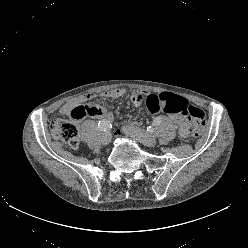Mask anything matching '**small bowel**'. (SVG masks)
<instances>
[{"label": "small bowel", "mask_w": 248, "mask_h": 248, "mask_svg": "<svg viewBox=\"0 0 248 248\" xmlns=\"http://www.w3.org/2000/svg\"><path fill=\"white\" fill-rule=\"evenodd\" d=\"M125 94H126L125 89L116 88V89H110V90L102 92L101 96L105 98H118ZM145 95H146L145 91L133 90L130 92V101L134 106H140L144 100ZM94 97H95V94L93 93L82 94L81 96L76 97L68 101L66 104H64L60 108L59 113L62 116H68L70 115L74 107L78 106L80 103L92 100ZM89 107H90L89 116L102 117L105 120H109V121L113 119L112 113L109 112L105 107L98 106V105H90ZM171 119L174 123H176L179 126L178 127L179 136L183 139L188 138L190 136V129H189L190 123L186 119V117L182 114H172Z\"/></svg>", "instance_id": "obj_1"}]
</instances>
